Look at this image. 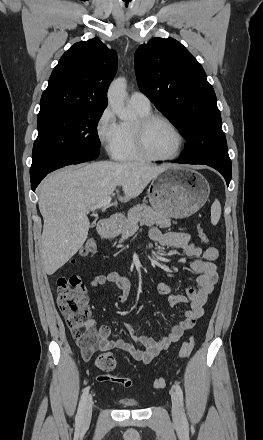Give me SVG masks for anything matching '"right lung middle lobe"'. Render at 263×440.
Returning <instances> with one entry per match:
<instances>
[{
    "label": "right lung middle lobe",
    "mask_w": 263,
    "mask_h": 440,
    "mask_svg": "<svg viewBox=\"0 0 263 440\" xmlns=\"http://www.w3.org/2000/svg\"><path fill=\"white\" fill-rule=\"evenodd\" d=\"M103 111L104 108L40 111L30 178L41 175L59 162L78 164L85 151L99 149L97 124Z\"/></svg>",
    "instance_id": "right-lung-middle-lobe-1"
}]
</instances>
